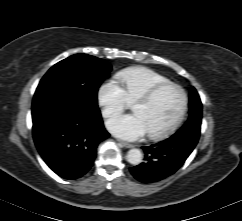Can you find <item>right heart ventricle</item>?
Returning a JSON list of instances; mask_svg holds the SVG:
<instances>
[{"label":"right heart ventricle","instance_id":"1","mask_svg":"<svg viewBox=\"0 0 242 221\" xmlns=\"http://www.w3.org/2000/svg\"><path fill=\"white\" fill-rule=\"evenodd\" d=\"M116 77L129 102H134L154 87L169 82L165 76L144 67L123 70Z\"/></svg>","mask_w":242,"mask_h":221}]
</instances>
